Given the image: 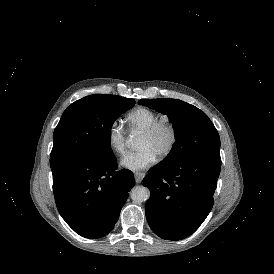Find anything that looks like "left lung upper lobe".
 Wrapping results in <instances>:
<instances>
[{
	"label": "left lung upper lobe",
	"mask_w": 274,
	"mask_h": 274,
	"mask_svg": "<svg viewBox=\"0 0 274 274\" xmlns=\"http://www.w3.org/2000/svg\"><path fill=\"white\" fill-rule=\"evenodd\" d=\"M139 104L165 114L173 124L175 143L161 163L175 165L200 155L220 156V138L208 116L197 107L178 99H142Z\"/></svg>",
	"instance_id": "obj_1"
}]
</instances>
